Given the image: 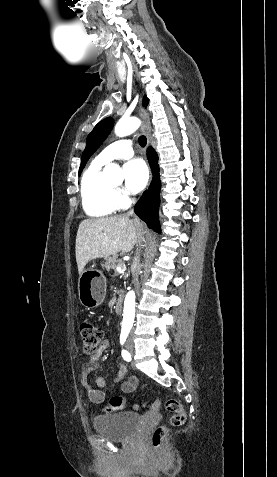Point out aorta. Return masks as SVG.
Instances as JSON below:
<instances>
[{"label":"aorta","instance_id":"762f6f07","mask_svg":"<svg viewBox=\"0 0 277 477\" xmlns=\"http://www.w3.org/2000/svg\"><path fill=\"white\" fill-rule=\"evenodd\" d=\"M140 125L141 121L136 117L122 118L115 126V134L119 137L127 136L136 131ZM103 172L107 178L118 182H121L124 178L120 167L115 163L106 165ZM123 312L122 327H132L135 317V294L133 291H129L125 297Z\"/></svg>","mask_w":277,"mask_h":477}]
</instances>
